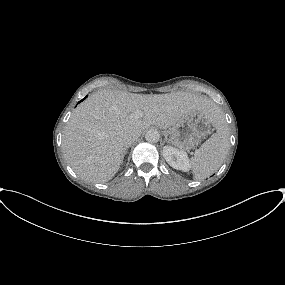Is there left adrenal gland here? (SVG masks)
<instances>
[{
	"label": "left adrenal gland",
	"mask_w": 285,
	"mask_h": 285,
	"mask_svg": "<svg viewBox=\"0 0 285 285\" xmlns=\"http://www.w3.org/2000/svg\"><path fill=\"white\" fill-rule=\"evenodd\" d=\"M165 142H167V138H165Z\"/></svg>",
	"instance_id": "obj_1"
}]
</instances>
